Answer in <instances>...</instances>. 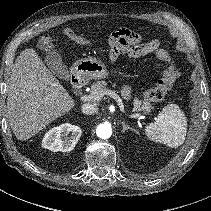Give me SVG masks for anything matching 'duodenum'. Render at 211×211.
<instances>
[{
  "label": "duodenum",
  "instance_id": "duodenum-1",
  "mask_svg": "<svg viewBox=\"0 0 211 211\" xmlns=\"http://www.w3.org/2000/svg\"><path fill=\"white\" fill-rule=\"evenodd\" d=\"M71 83L73 90L79 91L84 86V80L81 74L78 72H73L71 75Z\"/></svg>",
  "mask_w": 211,
  "mask_h": 211
}]
</instances>
